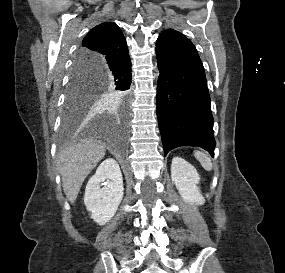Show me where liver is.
Listing matches in <instances>:
<instances>
[{
	"label": "liver",
	"mask_w": 285,
	"mask_h": 273,
	"mask_svg": "<svg viewBox=\"0 0 285 273\" xmlns=\"http://www.w3.org/2000/svg\"><path fill=\"white\" fill-rule=\"evenodd\" d=\"M106 153V144L94 139L82 140L62 150L57 168L67 199L73 204L88 174Z\"/></svg>",
	"instance_id": "6515ba94"
}]
</instances>
